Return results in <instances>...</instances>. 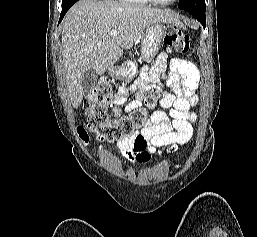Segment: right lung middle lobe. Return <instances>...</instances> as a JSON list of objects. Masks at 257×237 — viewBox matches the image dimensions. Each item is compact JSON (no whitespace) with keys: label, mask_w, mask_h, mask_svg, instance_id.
<instances>
[{"label":"right lung middle lobe","mask_w":257,"mask_h":237,"mask_svg":"<svg viewBox=\"0 0 257 237\" xmlns=\"http://www.w3.org/2000/svg\"><path fill=\"white\" fill-rule=\"evenodd\" d=\"M78 0H62V9L72 6Z\"/></svg>","instance_id":"dd1d6c3e"}]
</instances>
